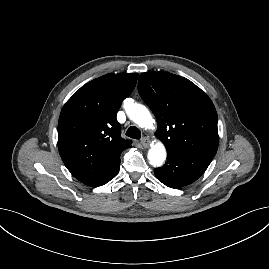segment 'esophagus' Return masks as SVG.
Masks as SVG:
<instances>
[{
	"instance_id": "1",
	"label": "esophagus",
	"mask_w": 269,
	"mask_h": 269,
	"mask_svg": "<svg viewBox=\"0 0 269 269\" xmlns=\"http://www.w3.org/2000/svg\"><path fill=\"white\" fill-rule=\"evenodd\" d=\"M141 144L143 147L147 148L150 145V140L147 136L141 139Z\"/></svg>"
}]
</instances>
